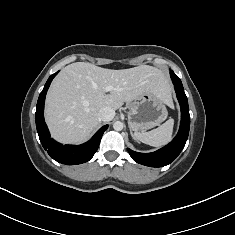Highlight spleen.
<instances>
[{"label": "spleen", "instance_id": "3e777b00", "mask_svg": "<svg viewBox=\"0 0 235 235\" xmlns=\"http://www.w3.org/2000/svg\"><path fill=\"white\" fill-rule=\"evenodd\" d=\"M173 126L174 120L169 119L156 129L135 134V139L153 147L165 145L172 138Z\"/></svg>", "mask_w": 235, "mask_h": 235}]
</instances>
